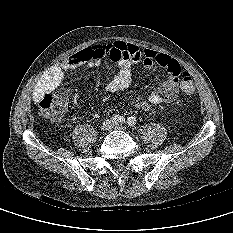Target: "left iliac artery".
<instances>
[{
  "instance_id": "44dca946",
  "label": "left iliac artery",
  "mask_w": 233,
  "mask_h": 233,
  "mask_svg": "<svg viewBox=\"0 0 233 233\" xmlns=\"http://www.w3.org/2000/svg\"><path fill=\"white\" fill-rule=\"evenodd\" d=\"M127 124L128 126H134L136 124V119L135 117L131 116L127 119Z\"/></svg>"
}]
</instances>
